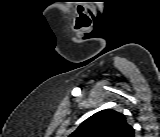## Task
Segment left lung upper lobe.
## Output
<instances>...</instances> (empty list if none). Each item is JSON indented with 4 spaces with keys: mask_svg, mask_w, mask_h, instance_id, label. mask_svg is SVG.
Returning <instances> with one entry per match:
<instances>
[{
    "mask_svg": "<svg viewBox=\"0 0 160 137\" xmlns=\"http://www.w3.org/2000/svg\"><path fill=\"white\" fill-rule=\"evenodd\" d=\"M134 129L123 114L106 109L86 119L70 137H133Z\"/></svg>",
    "mask_w": 160,
    "mask_h": 137,
    "instance_id": "left-lung-upper-lobe-1",
    "label": "left lung upper lobe"
}]
</instances>
